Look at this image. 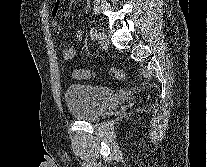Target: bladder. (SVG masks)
I'll return each mask as SVG.
<instances>
[{
    "label": "bladder",
    "instance_id": "1",
    "mask_svg": "<svg viewBox=\"0 0 207 167\" xmlns=\"http://www.w3.org/2000/svg\"><path fill=\"white\" fill-rule=\"evenodd\" d=\"M65 103L72 118L94 121L103 115L115 99V92L107 87L71 84L64 94Z\"/></svg>",
    "mask_w": 207,
    "mask_h": 167
}]
</instances>
